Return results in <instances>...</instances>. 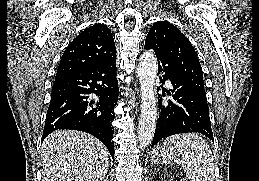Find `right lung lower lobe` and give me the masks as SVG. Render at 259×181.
Returning a JSON list of instances; mask_svg holds the SVG:
<instances>
[{"label":"right lung lower lobe","mask_w":259,"mask_h":181,"mask_svg":"<svg viewBox=\"0 0 259 181\" xmlns=\"http://www.w3.org/2000/svg\"><path fill=\"white\" fill-rule=\"evenodd\" d=\"M91 94L98 100H92ZM117 99L116 59L56 77L42 141L58 129L84 131L103 142L114 159L112 121Z\"/></svg>","instance_id":"1"}]
</instances>
